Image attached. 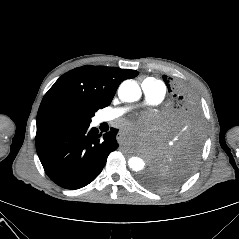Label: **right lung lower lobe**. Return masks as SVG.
<instances>
[{
  "instance_id": "obj_1",
  "label": "right lung lower lobe",
  "mask_w": 239,
  "mask_h": 239,
  "mask_svg": "<svg viewBox=\"0 0 239 239\" xmlns=\"http://www.w3.org/2000/svg\"><path fill=\"white\" fill-rule=\"evenodd\" d=\"M118 129L99 134L89 125L36 140V150L49 178L60 187L79 189L102 171L108 155L118 148Z\"/></svg>"
}]
</instances>
